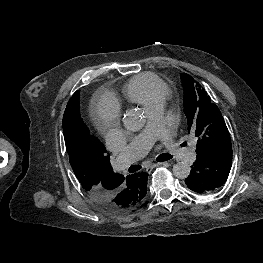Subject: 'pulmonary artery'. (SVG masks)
<instances>
[{
    "instance_id": "1",
    "label": "pulmonary artery",
    "mask_w": 263,
    "mask_h": 263,
    "mask_svg": "<svg viewBox=\"0 0 263 263\" xmlns=\"http://www.w3.org/2000/svg\"><path fill=\"white\" fill-rule=\"evenodd\" d=\"M163 111V102H159L148 109L149 117L147 125L119 155L116 165L118 170L128 167L130 164L143 157L160 137L164 138L168 149L180 159L185 162H193L196 159L195 146L181 149L166 136Z\"/></svg>"
}]
</instances>
